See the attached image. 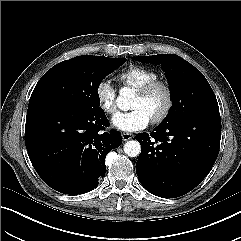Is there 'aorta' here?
Instances as JSON below:
<instances>
[{
	"label": "aorta",
	"mask_w": 241,
	"mask_h": 241,
	"mask_svg": "<svg viewBox=\"0 0 241 241\" xmlns=\"http://www.w3.org/2000/svg\"><path fill=\"white\" fill-rule=\"evenodd\" d=\"M130 96V89L127 87L122 88L120 90V96L117 98V106L122 110L128 109ZM123 149L129 157H137L141 152V145L136 140H130L124 144Z\"/></svg>",
	"instance_id": "obj_1"
}]
</instances>
